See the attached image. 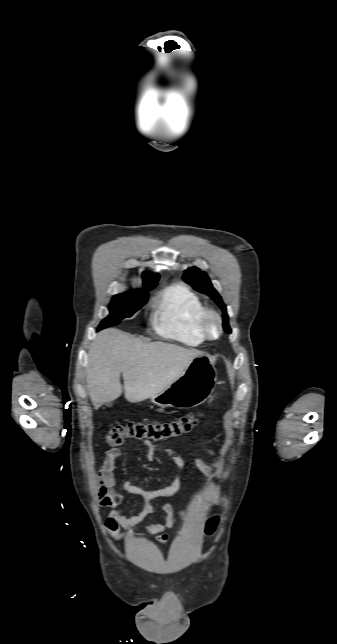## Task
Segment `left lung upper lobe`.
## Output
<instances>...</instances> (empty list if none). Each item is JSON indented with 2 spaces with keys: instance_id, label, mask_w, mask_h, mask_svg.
<instances>
[{
  "instance_id": "obj_1",
  "label": "left lung upper lobe",
  "mask_w": 337,
  "mask_h": 644,
  "mask_svg": "<svg viewBox=\"0 0 337 644\" xmlns=\"http://www.w3.org/2000/svg\"><path fill=\"white\" fill-rule=\"evenodd\" d=\"M184 280L191 283L195 290L204 292L205 294L210 296L218 304V306L222 309L225 315L224 328L226 331H229L230 329L228 326V315L226 312V306L223 303L218 292L213 288L207 274L205 272L200 271L196 267H191L185 270Z\"/></svg>"
}]
</instances>
